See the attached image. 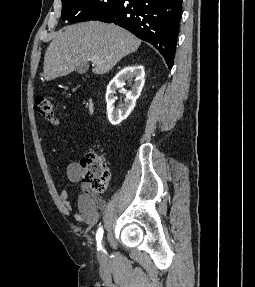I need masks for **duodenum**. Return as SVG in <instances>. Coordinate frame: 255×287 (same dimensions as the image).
Segmentation results:
<instances>
[{"label": "duodenum", "mask_w": 255, "mask_h": 287, "mask_svg": "<svg viewBox=\"0 0 255 287\" xmlns=\"http://www.w3.org/2000/svg\"><path fill=\"white\" fill-rule=\"evenodd\" d=\"M88 109H89V112H90V113H93V112H94V110H95V105H94L93 100H89Z\"/></svg>", "instance_id": "duodenum-1"}]
</instances>
